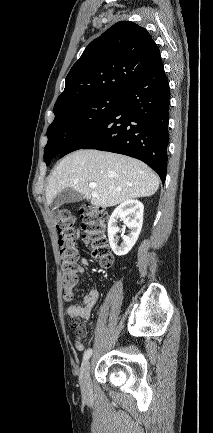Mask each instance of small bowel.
<instances>
[{"label":"small bowel","mask_w":213,"mask_h":433,"mask_svg":"<svg viewBox=\"0 0 213 433\" xmlns=\"http://www.w3.org/2000/svg\"><path fill=\"white\" fill-rule=\"evenodd\" d=\"M87 264L86 260H83L81 263H77L76 265V277L78 274L83 272L84 269V265ZM99 298V294L96 290H89V292L85 295V297L83 298V301L80 304H75V303H71L68 306L67 309V313L69 316L71 317H76V318H80L83 320H89L91 317V313L93 308L96 306L97 301ZM86 334L85 331V327L83 326V333L80 337L78 338V341L76 342V348L79 351L84 350L85 346L84 344L80 341L81 338H83Z\"/></svg>","instance_id":"1"}]
</instances>
